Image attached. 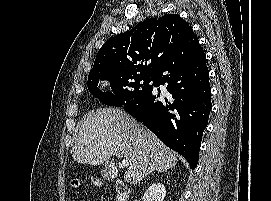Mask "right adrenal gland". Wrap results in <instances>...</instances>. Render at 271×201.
Listing matches in <instances>:
<instances>
[{"label":"right adrenal gland","mask_w":271,"mask_h":201,"mask_svg":"<svg viewBox=\"0 0 271 201\" xmlns=\"http://www.w3.org/2000/svg\"><path fill=\"white\" fill-rule=\"evenodd\" d=\"M155 171L162 172L163 170L159 168V169H157V170H154V171L150 172V173L147 174V175H150L151 173H153V172H155Z\"/></svg>","instance_id":"2a0ac1e0"}]
</instances>
